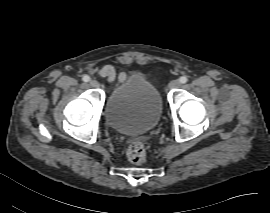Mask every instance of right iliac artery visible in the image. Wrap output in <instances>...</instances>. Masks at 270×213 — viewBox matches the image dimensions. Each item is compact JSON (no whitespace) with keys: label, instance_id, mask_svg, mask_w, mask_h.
Listing matches in <instances>:
<instances>
[{"label":"right iliac artery","instance_id":"obj_1","mask_svg":"<svg viewBox=\"0 0 270 213\" xmlns=\"http://www.w3.org/2000/svg\"><path fill=\"white\" fill-rule=\"evenodd\" d=\"M82 79L85 82H89L90 81V77L88 75H84Z\"/></svg>","mask_w":270,"mask_h":213}]
</instances>
